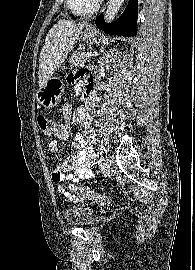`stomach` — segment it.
Instances as JSON below:
<instances>
[{
	"label": "stomach",
	"mask_w": 195,
	"mask_h": 270,
	"mask_svg": "<svg viewBox=\"0 0 195 270\" xmlns=\"http://www.w3.org/2000/svg\"><path fill=\"white\" fill-rule=\"evenodd\" d=\"M98 32L87 27L83 33V37L87 41H95ZM65 90L64 83L59 79L52 77L48 79L43 87L38 90L37 101L45 108H52L58 104Z\"/></svg>",
	"instance_id": "0dacf381"
}]
</instances>
